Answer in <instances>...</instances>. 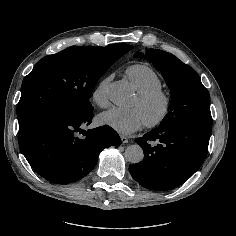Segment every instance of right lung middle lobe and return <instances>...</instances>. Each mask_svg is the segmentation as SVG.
Here are the masks:
<instances>
[{"mask_svg": "<svg viewBox=\"0 0 236 236\" xmlns=\"http://www.w3.org/2000/svg\"><path fill=\"white\" fill-rule=\"evenodd\" d=\"M129 44L77 46L42 58L24 78L17 105L19 129L51 114L81 116L99 78L126 54Z\"/></svg>", "mask_w": 236, "mask_h": 236, "instance_id": "obj_1", "label": "right lung middle lobe"}]
</instances>
